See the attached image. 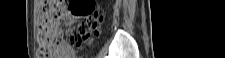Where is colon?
<instances>
[{
	"instance_id": "1",
	"label": "colon",
	"mask_w": 225,
	"mask_h": 58,
	"mask_svg": "<svg viewBox=\"0 0 225 58\" xmlns=\"http://www.w3.org/2000/svg\"><path fill=\"white\" fill-rule=\"evenodd\" d=\"M36 6L38 58H65L61 26L68 18H83L78 30L68 34L74 46L82 45L99 32L102 14L93 0H37Z\"/></svg>"
}]
</instances>
